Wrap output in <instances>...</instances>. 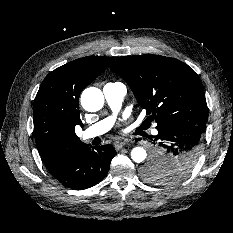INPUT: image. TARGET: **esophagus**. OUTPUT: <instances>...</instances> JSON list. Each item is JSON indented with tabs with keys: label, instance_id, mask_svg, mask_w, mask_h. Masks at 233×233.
I'll use <instances>...</instances> for the list:
<instances>
[{
	"label": "esophagus",
	"instance_id": "esophagus-1",
	"mask_svg": "<svg viewBox=\"0 0 233 233\" xmlns=\"http://www.w3.org/2000/svg\"><path fill=\"white\" fill-rule=\"evenodd\" d=\"M127 144V140H119L114 143V147L116 150H120L122 147H124Z\"/></svg>",
	"mask_w": 233,
	"mask_h": 233
}]
</instances>
